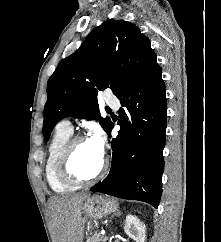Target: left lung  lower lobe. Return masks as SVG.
Instances as JSON below:
<instances>
[{
	"label": "left lung lower lobe",
	"mask_w": 221,
	"mask_h": 242,
	"mask_svg": "<svg viewBox=\"0 0 221 242\" xmlns=\"http://www.w3.org/2000/svg\"><path fill=\"white\" fill-rule=\"evenodd\" d=\"M159 65L118 96L121 126L109 175L90 190L158 207L162 194L166 96ZM113 124L107 133L110 136Z\"/></svg>",
	"instance_id": "left-lung-lower-lobe-1"
}]
</instances>
